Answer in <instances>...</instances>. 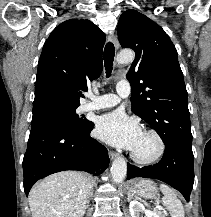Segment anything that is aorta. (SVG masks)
Wrapping results in <instances>:
<instances>
[{
    "label": "aorta",
    "instance_id": "aorta-1",
    "mask_svg": "<svg viewBox=\"0 0 211 217\" xmlns=\"http://www.w3.org/2000/svg\"><path fill=\"white\" fill-rule=\"evenodd\" d=\"M134 53L133 51L130 50H125V51H121L117 58L116 61L120 64H125V63H131L134 60ZM127 173V164L124 158L122 157H118L116 158L111 166V176H112V180L115 183H121Z\"/></svg>",
    "mask_w": 211,
    "mask_h": 217
}]
</instances>
